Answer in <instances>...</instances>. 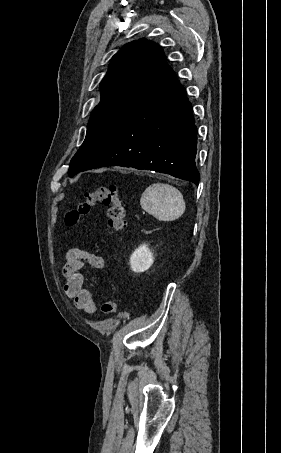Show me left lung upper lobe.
I'll use <instances>...</instances> for the list:
<instances>
[{"label": "left lung upper lobe", "mask_w": 281, "mask_h": 453, "mask_svg": "<svg viewBox=\"0 0 281 453\" xmlns=\"http://www.w3.org/2000/svg\"><path fill=\"white\" fill-rule=\"evenodd\" d=\"M166 64L162 48L140 39L112 58L101 82V101L92 112L86 138L72 158L68 175L85 167L133 112Z\"/></svg>", "instance_id": "1"}]
</instances>
